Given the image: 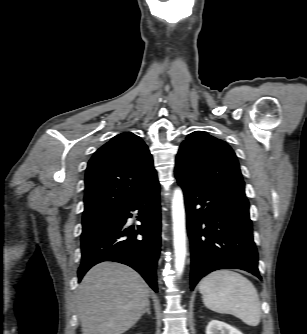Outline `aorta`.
Returning <instances> with one entry per match:
<instances>
[{
  "mask_svg": "<svg viewBox=\"0 0 307 334\" xmlns=\"http://www.w3.org/2000/svg\"><path fill=\"white\" fill-rule=\"evenodd\" d=\"M172 220L174 235L175 270L180 276L186 260V229L183 193L180 188L174 190L172 197Z\"/></svg>",
  "mask_w": 307,
  "mask_h": 334,
  "instance_id": "obj_1",
  "label": "aorta"
}]
</instances>
